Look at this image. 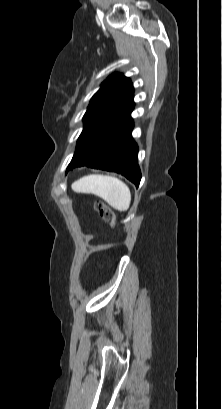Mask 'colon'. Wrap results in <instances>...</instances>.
Masks as SVG:
<instances>
[{"label":"colon","mask_w":222,"mask_h":409,"mask_svg":"<svg viewBox=\"0 0 222 409\" xmlns=\"http://www.w3.org/2000/svg\"><path fill=\"white\" fill-rule=\"evenodd\" d=\"M95 210L99 213L100 217L109 223L111 226H114L116 223V217L114 212L102 201H96L94 203Z\"/></svg>","instance_id":"5ec220e1"}]
</instances>
